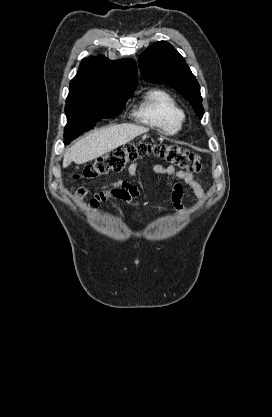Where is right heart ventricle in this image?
I'll list each match as a JSON object with an SVG mask.
<instances>
[{"mask_svg": "<svg viewBox=\"0 0 272 417\" xmlns=\"http://www.w3.org/2000/svg\"><path fill=\"white\" fill-rule=\"evenodd\" d=\"M141 123L174 135L183 126L185 113L175 97L164 89L148 91L134 113Z\"/></svg>", "mask_w": 272, "mask_h": 417, "instance_id": "right-heart-ventricle-1", "label": "right heart ventricle"}]
</instances>
